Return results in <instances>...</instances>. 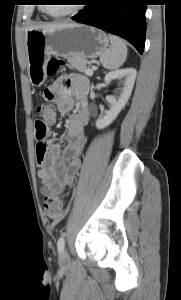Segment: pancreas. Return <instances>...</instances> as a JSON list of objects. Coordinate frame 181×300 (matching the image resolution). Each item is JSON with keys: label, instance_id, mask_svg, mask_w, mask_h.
Wrapping results in <instances>:
<instances>
[{"label": "pancreas", "instance_id": "1", "mask_svg": "<svg viewBox=\"0 0 181 300\" xmlns=\"http://www.w3.org/2000/svg\"><path fill=\"white\" fill-rule=\"evenodd\" d=\"M69 63L71 64L72 67H74L75 69H77L80 72H86L87 67V61L79 58V57H71L69 58Z\"/></svg>", "mask_w": 181, "mask_h": 300}]
</instances>
